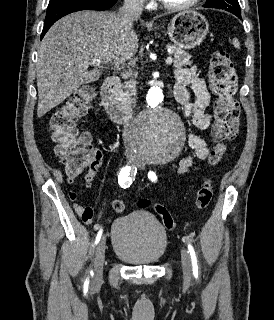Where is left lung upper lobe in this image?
<instances>
[{"mask_svg":"<svg viewBox=\"0 0 274 320\" xmlns=\"http://www.w3.org/2000/svg\"><path fill=\"white\" fill-rule=\"evenodd\" d=\"M204 7L225 9L231 13L241 12L237 0H208Z\"/></svg>","mask_w":274,"mask_h":320,"instance_id":"obj_1","label":"left lung upper lobe"}]
</instances>
